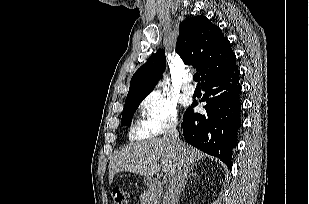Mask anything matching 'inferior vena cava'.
Returning <instances> with one entry per match:
<instances>
[{
    "mask_svg": "<svg viewBox=\"0 0 309 204\" xmlns=\"http://www.w3.org/2000/svg\"><path fill=\"white\" fill-rule=\"evenodd\" d=\"M166 138L177 150L179 162L175 173L172 175L163 204H176L181 191L185 187L187 176L190 171V164L182 152V142L179 139L176 125L167 132Z\"/></svg>",
    "mask_w": 309,
    "mask_h": 204,
    "instance_id": "1",
    "label": "inferior vena cava"
}]
</instances>
